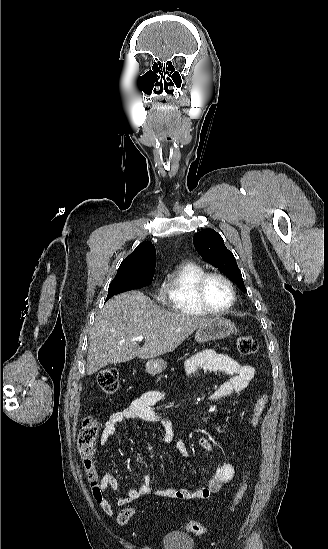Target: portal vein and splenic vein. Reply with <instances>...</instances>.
Listing matches in <instances>:
<instances>
[{"label": "portal vein and splenic vein", "instance_id": "18ae733b", "mask_svg": "<svg viewBox=\"0 0 328 549\" xmlns=\"http://www.w3.org/2000/svg\"><path fill=\"white\" fill-rule=\"evenodd\" d=\"M144 337L140 335V337H134V339H131V341H143Z\"/></svg>", "mask_w": 328, "mask_h": 549}]
</instances>
